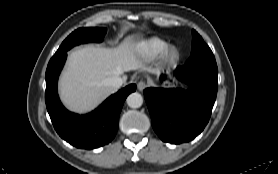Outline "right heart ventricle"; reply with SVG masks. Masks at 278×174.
I'll list each match as a JSON object with an SVG mask.
<instances>
[{
    "label": "right heart ventricle",
    "instance_id": "right-heart-ventricle-1",
    "mask_svg": "<svg viewBox=\"0 0 278 174\" xmlns=\"http://www.w3.org/2000/svg\"><path fill=\"white\" fill-rule=\"evenodd\" d=\"M168 46V43L158 37H152L139 45L140 52L148 59H154Z\"/></svg>",
    "mask_w": 278,
    "mask_h": 174
}]
</instances>
